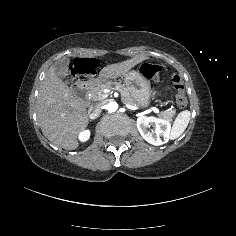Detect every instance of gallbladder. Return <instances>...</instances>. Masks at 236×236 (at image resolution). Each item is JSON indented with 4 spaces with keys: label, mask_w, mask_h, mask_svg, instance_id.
I'll list each match as a JSON object with an SVG mask.
<instances>
[{
    "label": "gallbladder",
    "mask_w": 236,
    "mask_h": 236,
    "mask_svg": "<svg viewBox=\"0 0 236 236\" xmlns=\"http://www.w3.org/2000/svg\"><path fill=\"white\" fill-rule=\"evenodd\" d=\"M69 63L70 60L68 58H61L54 63L53 67L55 69V73L59 78H64L69 75Z\"/></svg>",
    "instance_id": "bac80fb5"
}]
</instances>
